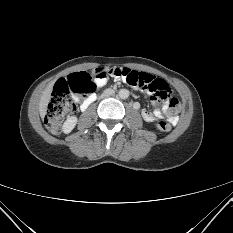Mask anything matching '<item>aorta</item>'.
Returning <instances> with one entry per match:
<instances>
[{"label":"aorta","instance_id":"1","mask_svg":"<svg viewBox=\"0 0 233 233\" xmlns=\"http://www.w3.org/2000/svg\"><path fill=\"white\" fill-rule=\"evenodd\" d=\"M118 95L121 99H127L129 97V91L127 89H121Z\"/></svg>","mask_w":233,"mask_h":233}]
</instances>
